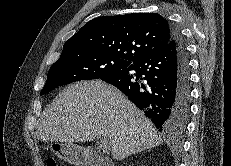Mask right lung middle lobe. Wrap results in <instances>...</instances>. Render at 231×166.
Listing matches in <instances>:
<instances>
[{"label": "right lung middle lobe", "instance_id": "dd1d6c3e", "mask_svg": "<svg viewBox=\"0 0 231 166\" xmlns=\"http://www.w3.org/2000/svg\"><path fill=\"white\" fill-rule=\"evenodd\" d=\"M132 62L97 52H78L59 58L50 68L40 95L58 86L101 77L127 68Z\"/></svg>", "mask_w": 231, "mask_h": 166}]
</instances>
